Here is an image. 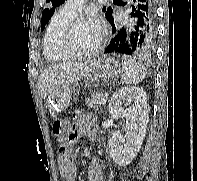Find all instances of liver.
<instances>
[{"mask_svg": "<svg viewBox=\"0 0 197 181\" xmlns=\"http://www.w3.org/2000/svg\"><path fill=\"white\" fill-rule=\"evenodd\" d=\"M93 66V61L83 63H63L52 65L42 71L38 82V93L41 100L58 85L74 82L87 76Z\"/></svg>", "mask_w": 197, "mask_h": 181, "instance_id": "obj_1", "label": "liver"}]
</instances>
